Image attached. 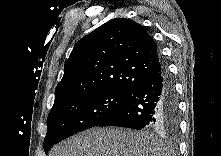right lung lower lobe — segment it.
<instances>
[{"instance_id": "obj_1", "label": "right lung lower lobe", "mask_w": 221, "mask_h": 156, "mask_svg": "<svg viewBox=\"0 0 221 156\" xmlns=\"http://www.w3.org/2000/svg\"><path fill=\"white\" fill-rule=\"evenodd\" d=\"M178 99L166 68L140 84L117 110L97 126L177 132Z\"/></svg>"}]
</instances>
